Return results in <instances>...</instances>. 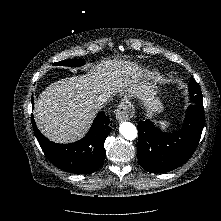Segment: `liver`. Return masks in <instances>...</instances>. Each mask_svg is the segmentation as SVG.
I'll return each mask as SVG.
<instances>
[{
	"label": "liver",
	"mask_w": 221,
	"mask_h": 221,
	"mask_svg": "<svg viewBox=\"0 0 221 221\" xmlns=\"http://www.w3.org/2000/svg\"><path fill=\"white\" fill-rule=\"evenodd\" d=\"M140 67L126 60H103L81 76L50 84L35 102L37 127L51 141L74 142L89 130L100 109L99 95L133 93Z\"/></svg>",
	"instance_id": "liver-1"
}]
</instances>
